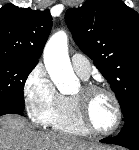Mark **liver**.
Wrapping results in <instances>:
<instances>
[{
    "label": "liver",
    "instance_id": "liver-1",
    "mask_svg": "<svg viewBox=\"0 0 139 150\" xmlns=\"http://www.w3.org/2000/svg\"><path fill=\"white\" fill-rule=\"evenodd\" d=\"M95 144L67 134L31 130L17 115L0 118V150H96Z\"/></svg>",
    "mask_w": 139,
    "mask_h": 150
}]
</instances>
